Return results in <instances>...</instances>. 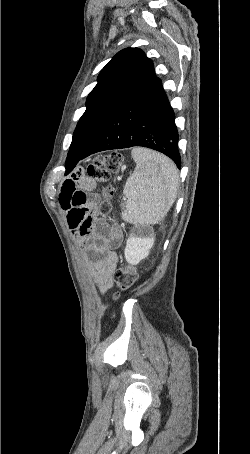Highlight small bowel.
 Returning a JSON list of instances; mask_svg holds the SVG:
<instances>
[{"instance_id":"obj_1","label":"small bowel","mask_w":250,"mask_h":454,"mask_svg":"<svg viewBox=\"0 0 250 454\" xmlns=\"http://www.w3.org/2000/svg\"><path fill=\"white\" fill-rule=\"evenodd\" d=\"M94 187V180L77 170L63 182L59 201L66 212L68 226L86 259L89 272L100 292L104 293L113 284L118 264L115 250L123 241V232L119 226H111L91 214L96 201L90 197L89 192Z\"/></svg>"}]
</instances>
